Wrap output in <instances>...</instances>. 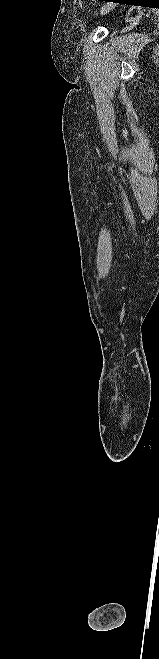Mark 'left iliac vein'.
I'll use <instances>...</instances> for the list:
<instances>
[{
	"label": "left iliac vein",
	"instance_id": "1",
	"mask_svg": "<svg viewBox=\"0 0 159 659\" xmlns=\"http://www.w3.org/2000/svg\"><path fill=\"white\" fill-rule=\"evenodd\" d=\"M112 9L111 4H105L101 9V15L108 13Z\"/></svg>",
	"mask_w": 159,
	"mask_h": 659
}]
</instances>
